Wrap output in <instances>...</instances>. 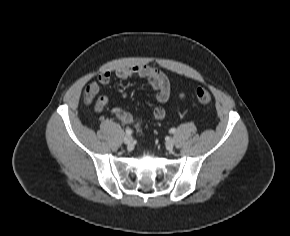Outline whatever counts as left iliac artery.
<instances>
[{
  "label": "left iliac artery",
  "instance_id": "44dca946",
  "mask_svg": "<svg viewBox=\"0 0 290 236\" xmlns=\"http://www.w3.org/2000/svg\"><path fill=\"white\" fill-rule=\"evenodd\" d=\"M176 132V129L175 128H171L170 129V133H175Z\"/></svg>",
  "mask_w": 290,
  "mask_h": 236
}]
</instances>
